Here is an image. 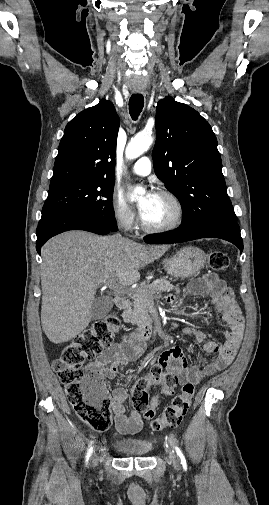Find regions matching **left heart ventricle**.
I'll list each match as a JSON object with an SVG mask.
<instances>
[{
  "instance_id": "left-heart-ventricle-1",
  "label": "left heart ventricle",
  "mask_w": 269,
  "mask_h": 505,
  "mask_svg": "<svg viewBox=\"0 0 269 505\" xmlns=\"http://www.w3.org/2000/svg\"><path fill=\"white\" fill-rule=\"evenodd\" d=\"M144 198L141 200V203ZM176 216V208L168 198L156 195L147 213L143 216L146 223L159 226L170 223Z\"/></svg>"
}]
</instances>
